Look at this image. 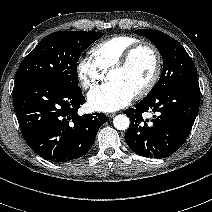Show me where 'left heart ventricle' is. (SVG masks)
Here are the masks:
<instances>
[{"instance_id":"obj_1","label":"left heart ventricle","mask_w":212,"mask_h":212,"mask_svg":"<svg viewBox=\"0 0 212 212\" xmlns=\"http://www.w3.org/2000/svg\"><path fill=\"white\" fill-rule=\"evenodd\" d=\"M154 68L153 53L142 49L135 54L127 68L112 72L108 79L120 83L135 94L149 81Z\"/></svg>"}]
</instances>
